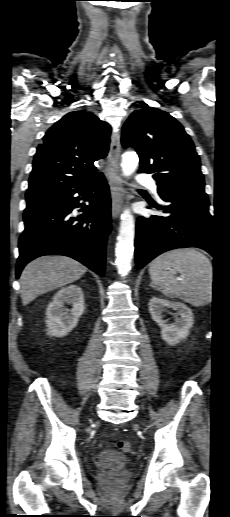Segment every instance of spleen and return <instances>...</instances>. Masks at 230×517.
Segmentation results:
<instances>
[{
  "label": "spleen",
  "instance_id": "1",
  "mask_svg": "<svg viewBox=\"0 0 230 517\" xmlns=\"http://www.w3.org/2000/svg\"><path fill=\"white\" fill-rule=\"evenodd\" d=\"M174 272H179L181 278ZM149 274L154 287L166 297L179 298L193 306L212 301V264L194 249H176L158 256L150 263Z\"/></svg>",
  "mask_w": 230,
  "mask_h": 517
}]
</instances>
